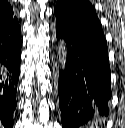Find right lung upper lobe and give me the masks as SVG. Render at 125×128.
<instances>
[{
    "mask_svg": "<svg viewBox=\"0 0 125 128\" xmlns=\"http://www.w3.org/2000/svg\"><path fill=\"white\" fill-rule=\"evenodd\" d=\"M16 17H13V9L6 0H0V30H3L17 23Z\"/></svg>",
    "mask_w": 125,
    "mask_h": 128,
    "instance_id": "right-lung-upper-lobe-1",
    "label": "right lung upper lobe"
}]
</instances>
